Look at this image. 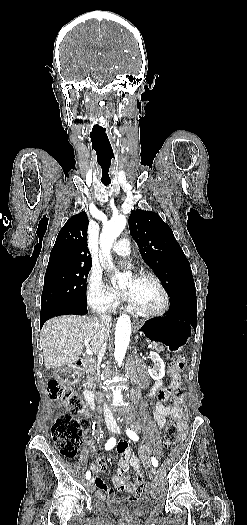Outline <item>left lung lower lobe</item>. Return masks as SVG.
Returning <instances> with one entry per match:
<instances>
[{
    "label": "left lung lower lobe",
    "instance_id": "1",
    "mask_svg": "<svg viewBox=\"0 0 247 525\" xmlns=\"http://www.w3.org/2000/svg\"><path fill=\"white\" fill-rule=\"evenodd\" d=\"M165 319L185 321L196 328L197 323V301L196 298H180L171 301V306L166 312Z\"/></svg>",
    "mask_w": 247,
    "mask_h": 525
}]
</instances>
